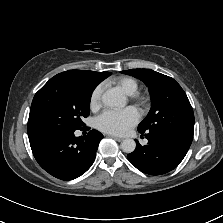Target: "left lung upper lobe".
<instances>
[{"mask_svg":"<svg viewBox=\"0 0 223 223\" xmlns=\"http://www.w3.org/2000/svg\"><path fill=\"white\" fill-rule=\"evenodd\" d=\"M122 73L142 80L150 92L151 109L139 124L138 131H167L193 138V109L173 78L150 69H131Z\"/></svg>","mask_w":223,"mask_h":223,"instance_id":"left-lung-upper-lobe-1","label":"left lung upper lobe"}]
</instances>
